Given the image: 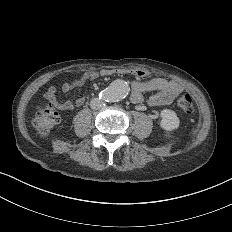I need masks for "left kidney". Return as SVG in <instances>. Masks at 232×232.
I'll list each match as a JSON object with an SVG mask.
<instances>
[{
    "label": "left kidney",
    "mask_w": 232,
    "mask_h": 232,
    "mask_svg": "<svg viewBox=\"0 0 232 232\" xmlns=\"http://www.w3.org/2000/svg\"><path fill=\"white\" fill-rule=\"evenodd\" d=\"M163 120H162V127L170 130L174 129L178 126L179 121L178 118L174 115L172 111L164 110L162 112Z\"/></svg>",
    "instance_id": "1"
}]
</instances>
